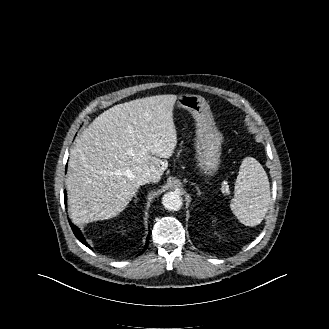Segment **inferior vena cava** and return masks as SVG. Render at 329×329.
<instances>
[{"label": "inferior vena cava", "mask_w": 329, "mask_h": 329, "mask_svg": "<svg viewBox=\"0 0 329 329\" xmlns=\"http://www.w3.org/2000/svg\"><path fill=\"white\" fill-rule=\"evenodd\" d=\"M156 177L150 172V171H145L141 174L139 178V182L141 185H144L149 182H155Z\"/></svg>", "instance_id": "obj_1"}]
</instances>
